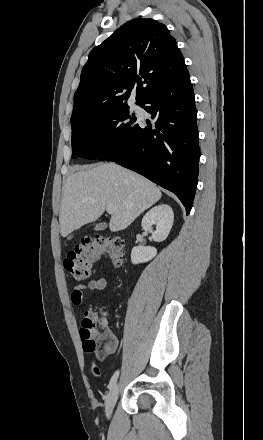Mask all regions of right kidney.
Listing matches in <instances>:
<instances>
[{
  "mask_svg": "<svg viewBox=\"0 0 263 440\" xmlns=\"http://www.w3.org/2000/svg\"><path fill=\"white\" fill-rule=\"evenodd\" d=\"M174 221L172 208L167 204H161L150 209L142 219L141 226L145 231H151L152 225H156V230L151 231L152 239L156 242L164 241L170 233ZM157 254L155 247L137 246L131 251V261L133 264L148 262Z\"/></svg>",
  "mask_w": 263,
  "mask_h": 440,
  "instance_id": "1",
  "label": "right kidney"
}]
</instances>
